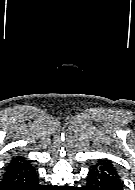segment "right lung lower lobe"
I'll list each match as a JSON object with an SVG mask.
<instances>
[{
    "mask_svg": "<svg viewBox=\"0 0 135 190\" xmlns=\"http://www.w3.org/2000/svg\"><path fill=\"white\" fill-rule=\"evenodd\" d=\"M38 183V175L28 160L17 156L6 167L0 190H44Z\"/></svg>",
    "mask_w": 135,
    "mask_h": 190,
    "instance_id": "obj_1",
    "label": "right lung lower lobe"
}]
</instances>
